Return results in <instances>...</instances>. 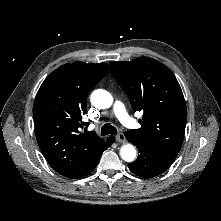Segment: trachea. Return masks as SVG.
Here are the masks:
<instances>
[{
  "mask_svg": "<svg viewBox=\"0 0 221 221\" xmlns=\"http://www.w3.org/2000/svg\"><path fill=\"white\" fill-rule=\"evenodd\" d=\"M108 134L117 135V129L114 126H112L111 124H105L101 128V135L102 136H105Z\"/></svg>",
  "mask_w": 221,
  "mask_h": 221,
  "instance_id": "obj_1",
  "label": "trachea"
}]
</instances>
